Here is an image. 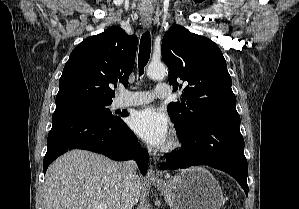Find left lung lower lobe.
Returning a JSON list of instances; mask_svg holds the SVG:
<instances>
[{
  "mask_svg": "<svg viewBox=\"0 0 299 209\" xmlns=\"http://www.w3.org/2000/svg\"><path fill=\"white\" fill-rule=\"evenodd\" d=\"M239 125L240 116L236 110L210 115L196 128L178 133L183 148L167 155L171 159H167L160 169L208 165L234 177L248 195V165Z\"/></svg>",
  "mask_w": 299,
  "mask_h": 209,
  "instance_id": "left-lung-lower-lobe-1",
  "label": "left lung lower lobe"
}]
</instances>
